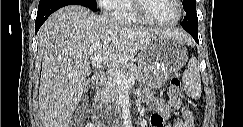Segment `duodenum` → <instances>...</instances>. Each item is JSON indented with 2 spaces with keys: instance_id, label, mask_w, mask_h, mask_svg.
I'll list each match as a JSON object with an SVG mask.
<instances>
[{
  "instance_id": "duodenum-1",
  "label": "duodenum",
  "mask_w": 243,
  "mask_h": 127,
  "mask_svg": "<svg viewBox=\"0 0 243 127\" xmlns=\"http://www.w3.org/2000/svg\"><path fill=\"white\" fill-rule=\"evenodd\" d=\"M94 81H95V87L97 89H102L107 83V78L102 74H98L95 76ZM95 117L98 118L97 112H95Z\"/></svg>"
}]
</instances>
